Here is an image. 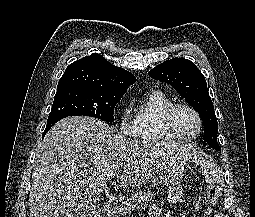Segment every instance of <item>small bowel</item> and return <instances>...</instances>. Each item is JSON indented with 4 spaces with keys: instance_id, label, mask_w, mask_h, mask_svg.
<instances>
[{
    "instance_id": "1",
    "label": "small bowel",
    "mask_w": 255,
    "mask_h": 217,
    "mask_svg": "<svg viewBox=\"0 0 255 217\" xmlns=\"http://www.w3.org/2000/svg\"><path fill=\"white\" fill-rule=\"evenodd\" d=\"M149 217H175L172 214H165V215H161V210L160 208L153 204L149 207ZM215 217H219L218 215H216Z\"/></svg>"
}]
</instances>
